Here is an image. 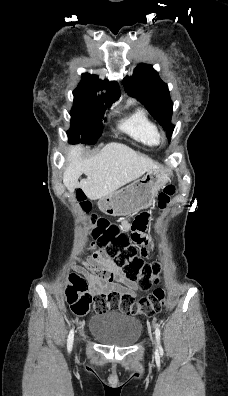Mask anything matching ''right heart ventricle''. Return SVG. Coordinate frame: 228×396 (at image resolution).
Here are the masks:
<instances>
[{"label":"right heart ventricle","mask_w":228,"mask_h":396,"mask_svg":"<svg viewBox=\"0 0 228 396\" xmlns=\"http://www.w3.org/2000/svg\"><path fill=\"white\" fill-rule=\"evenodd\" d=\"M120 129L144 145L152 147L159 143L158 127L142 108H137L125 118L120 124Z\"/></svg>","instance_id":"1"}]
</instances>
